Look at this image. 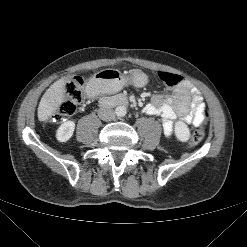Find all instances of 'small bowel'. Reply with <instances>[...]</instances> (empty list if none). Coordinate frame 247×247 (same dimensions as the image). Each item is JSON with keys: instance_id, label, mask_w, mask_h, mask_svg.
I'll return each instance as SVG.
<instances>
[{"instance_id": "c3829d8e", "label": "small bowel", "mask_w": 247, "mask_h": 247, "mask_svg": "<svg viewBox=\"0 0 247 247\" xmlns=\"http://www.w3.org/2000/svg\"><path fill=\"white\" fill-rule=\"evenodd\" d=\"M205 111V104L200 92L188 81H184L165 100L162 96L156 95L145 107L146 113L161 117L163 131L168 138L173 134L176 120L185 121L196 128L204 121Z\"/></svg>"}]
</instances>
